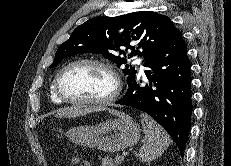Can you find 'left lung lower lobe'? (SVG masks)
Returning a JSON list of instances; mask_svg holds the SVG:
<instances>
[{"label":"left lung lower lobe","mask_w":231,"mask_h":166,"mask_svg":"<svg viewBox=\"0 0 231 166\" xmlns=\"http://www.w3.org/2000/svg\"><path fill=\"white\" fill-rule=\"evenodd\" d=\"M147 67L143 85L137 73L116 104L134 107L154 118L175 141L181 155L191 128L193 111L191 64L182 33L176 29L171 38L143 64Z\"/></svg>","instance_id":"0a47b994"}]
</instances>
